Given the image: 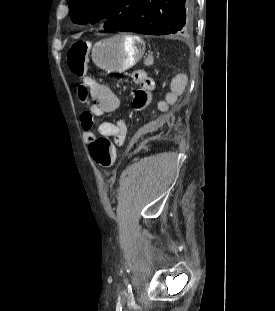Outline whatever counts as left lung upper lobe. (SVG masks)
<instances>
[{"label": "left lung upper lobe", "instance_id": "left-lung-upper-lobe-1", "mask_svg": "<svg viewBox=\"0 0 275 311\" xmlns=\"http://www.w3.org/2000/svg\"><path fill=\"white\" fill-rule=\"evenodd\" d=\"M74 23H96L105 19L107 31H117L137 12L141 0H67Z\"/></svg>", "mask_w": 275, "mask_h": 311}]
</instances>
